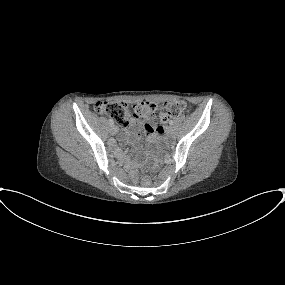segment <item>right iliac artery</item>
Returning <instances> with one entry per match:
<instances>
[{
	"label": "right iliac artery",
	"mask_w": 285,
	"mask_h": 285,
	"mask_svg": "<svg viewBox=\"0 0 285 285\" xmlns=\"http://www.w3.org/2000/svg\"><path fill=\"white\" fill-rule=\"evenodd\" d=\"M109 124H110V125H113L114 122H113L111 119H109Z\"/></svg>",
	"instance_id": "1"
}]
</instances>
